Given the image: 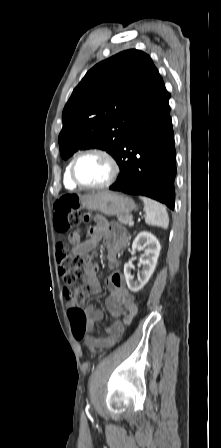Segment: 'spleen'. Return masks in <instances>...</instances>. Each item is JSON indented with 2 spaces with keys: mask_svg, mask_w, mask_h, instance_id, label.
<instances>
[{
  "mask_svg": "<svg viewBox=\"0 0 221 448\" xmlns=\"http://www.w3.org/2000/svg\"><path fill=\"white\" fill-rule=\"evenodd\" d=\"M141 199L144 203L146 224L167 229L169 217L165 207L159 202L147 197H141Z\"/></svg>",
  "mask_w": 221,
  "mask_h": 448,
  "instance_id": "3e777b00",
  "label": "spleen"
}]
</instances>
